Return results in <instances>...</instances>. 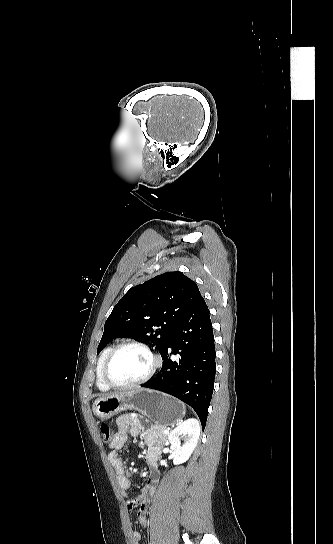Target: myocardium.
Returning a JSON list of instances; mask_svg holds the SVG:
<instances>
[{
	"label": "myocardium",
	"instance_id": "obj_1",
	"mask_svg": "<svg viewBox=\"0 0 333 544\" xmlns=\"http://www.w3.org/2000/svg\"><path fill=\"white\" fill-rule=\"evenodd\" d=\"M127 347L139 348V349L143 350L144 352H146L148 354V356L150 357V359H151V366H150L148 372L143 377H141V378H139V379H137L135 381H132V382H129V383H115L109 377V367H110V364H111L113 358L116 356V354L120 350H122L124 348H127ZM160 366H161V359H160L159 355L148 344H146L144 342H140V341L130 340V341H125V342H122V343L116 345L110 351V353L108 354V356H107V358H106V360H105V362L103 364L102 377H103L104 382L109 387L117 388V389L131 388V387L142 385V384L148 382L155 375V373L160 368Z\"/></svg>",
	"mask_w": 333,
	"mask_h": 544
}]
</instances>
